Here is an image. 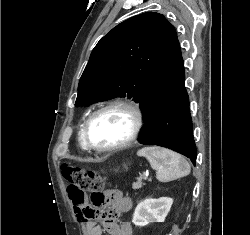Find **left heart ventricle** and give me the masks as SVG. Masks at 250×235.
I'll list each match as a JSON object with an SVG mask.
<instances>
[{
	"label": "left heart ventricle",
	"mask_w": 250,
	"mask_h": 235,
	"mask_svg": "<svg viewBox=\"0 0 250 235\" xmlns=\"http://www.w3.org/2000/svg\"><path fill=\"white\" fill-rule=\"evenodd\" d=\"M132 126L131 118L123 110L112 109L96 116L89 127L92 144L107 147L123 141Z\"/></svg>",
	"instance_id": "left-heart-ventricle-1"
}]
</instances>
